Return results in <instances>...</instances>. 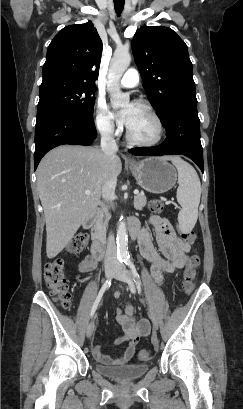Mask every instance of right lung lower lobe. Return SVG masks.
I'll list each match as a JSON object with an SVG mask.
<instances>
[{
  "label": "right lung lower lobe",
  "mask_w": 243,
  "mask_h": 409,
  "mask_svg": "<svg viewBox=\"0 0 243 409\" xmlns=\"http://www.w3.org/2000/svg\"><path fill=\"white\" fill-rule=\"evenodd\" d=\"M97 137L93 119L62 113L45 114L35 126V170L42 157L52 148L63 144L90 145Z\"/></svg>",
  "instance_id": "obj_1"
}]
</instances>
